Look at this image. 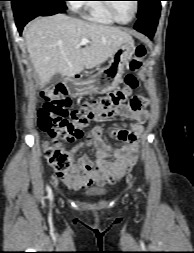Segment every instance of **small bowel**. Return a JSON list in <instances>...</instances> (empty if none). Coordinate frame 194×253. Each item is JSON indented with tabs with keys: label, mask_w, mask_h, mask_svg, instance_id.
Segmentation results:
<instances>
[{
	"label": "small bowel",
	"mask_w": 194,
	"mask_h": 253,
	"mask_svg": "<svg viewBox=\"0 0 194 253\" xmlns=\"http://www.w3.org/2000/svg\"><path fill=\"white\" fill-rule=\"evenodd\" d=\"M128 100L129 104L106 116H120L129 121L114 123L108 128V132L122 142L120 147L104 139L105 130L100 125H95L84 141L71 147L69 154L75 156L83 147L90 146L93 148V158L82 155L67 171L56 172L58 179L68 188L78 190L93 184L103 186L115 183L136 164L140 138L149 118L146 109L148 100L136 95Z\"/></svg>",
	"instance_id": "1"
}]
</instances>
